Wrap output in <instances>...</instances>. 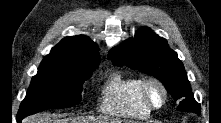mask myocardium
<instances>
[{
    "label": "myocardium",
    "mask_w": 221,
    "mask_h": 123,
    "mask_svg": "<svg viewBox=\"0 0 221 123\" xmlns=\"http://www.w3.org/2000/svg\"><path fill=\"white\" fill-rule=\"evenodd\" d=\"M153 87L157 88L162 94V100L160 103L154 102L151 97L150 92ZM140 95H141L143 102L151 110H156V109H160L164 107L168 100V90L166 86L161 80L152 76L142 79L141 84H140Z\"/></svg>",
    "instance_id": "1"
}]
</instances>
